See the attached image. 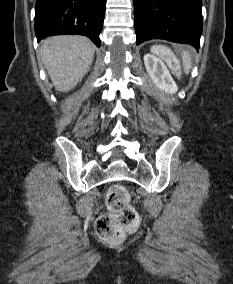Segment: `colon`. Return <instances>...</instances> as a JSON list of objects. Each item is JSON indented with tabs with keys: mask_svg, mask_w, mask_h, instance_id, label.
<instances>
[{
	"mask_svg": "<svg viewBox=\"0 0 233 284\" xmlns=\"http://www.w3.org/2000/svg\"><path fill=\"white\" fill-rule=\"evenodd\" d=\"M152 51L170 68L176 77L181 76V67L173 51L164 45H154ZM108 213L100 215L95 223L97 234L108 241H120L124 234L134 228L138 216L130 204V195L122 185H113L107 192Z\"/></svg>",
	"mask_w": 233,
	"mask_h": 284,
	"instance_id": "5ec220e1",
	"label": "colon"
}]
</instances>
